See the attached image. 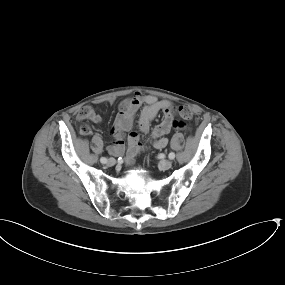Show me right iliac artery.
Returning <instances> with one entry per match:
<instances>
[{
  "mask_svg": "<svg viewBox=\"0 0 285 285\" xmlns=\"http://www.w3.org/2000/svg\"><path fill=\"white\" fill-rule=\"evenodd\" d=\"M100 162L103 163V164H105V163L107 162V159H106L105 157H102V158L100 159Z\"/></svg>",
  "mask_w": 285,
  "mask_h": 285,
  "instance_id": "1",
  "label": "right iliac artery"
}]
</instances>
